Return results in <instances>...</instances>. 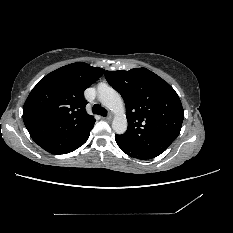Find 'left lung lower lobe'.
<instances>
[{
	"label": "left lung lower lobe",
	"mask_w": 233,
	"mask_h": 233,
	"mask_svg": "<svg viewBox=\"0 0 233 233\" xmlns=\"http://www.w3.org/2000/svg\"><path fill=\"white\" fill-rule=\"evenodd\" d=\"M115 140H116L117 145L122 149V151L125 152L129 156H132L137 159H142V160L152 159L156 157V155L143 153V152L133 149L132 147H130L129 145L121 141L118 135H115Z\"/></svg>",
	"instance_id": "0a47b994"
}]
</instances>
